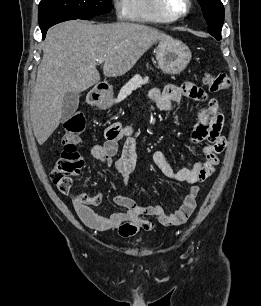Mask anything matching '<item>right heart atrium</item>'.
<instances>
[{"label":"right heart atrium","mask_w":261,"mask_h":306,"mask_svg":"<svg viewBox=\"0 0 261 306\" xmlns=\"http://www.w3.org/2000/svg\"><path fill=\"white\" fill-rule=\"evenodd\" d=\"M116 17L120 20L128 17V0H111Z\"/></svg>","instance_id":"obj_1"}]
</instances>
